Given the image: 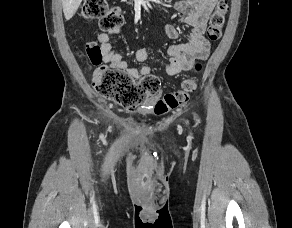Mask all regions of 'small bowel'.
<instances>
[{
  "mask_svg": "<svg viewBox=\"0 0 292 228\" xmlns=\"http://www.w3.org/2000/svg\"><path fill=\"white\" fill-rule=\"evenodd\" d=\"M218 0H178L175 9L181 14L182 22L190 27L188 40L168 47L169 61L165 65V72L169 76L177 75L192 69L196 60H206L210 54V42L204 36L208 18ZM164 32L169 38H177L179 30L173 25L164 27ZM97 40L103 54L104 68L119 69L127 72L134 79H141L150 75L152 69L144 66L140 69L129 67L122 55L116 52L111 43L109 34H98ZM149 55V47H142L134 51V59L144 62ZM158 94L149 97L139 108L140 113H151L155 110Z\"/></svg>",
  "mask_w": 292,
  "mask_h": 228,
  "instance_id": "c3829d8e",
  "label": "small bowel"
}]
</instances>
